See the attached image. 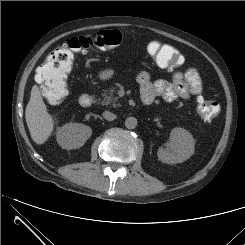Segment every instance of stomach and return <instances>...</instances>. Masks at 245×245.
<instances>
[{"mask_svg": "<svg viewBox=\"0 0 245 245\" xmlns=\"http://www.w3.org/2000/svg\"><path fill=\"white\" fill-rule=\"evenodd\" d=\"M115 72L113 69H104L99 72V78L103 81L109 80L114 76Z\"/></svg>", "mask_w": 245, "mask_h": 245, "instance_id": "0dacf381", "label": "stomach"}]
</instances>
